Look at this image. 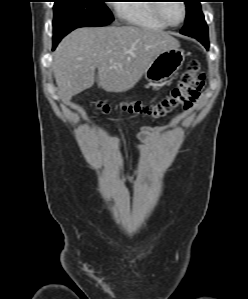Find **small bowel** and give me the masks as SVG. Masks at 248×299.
<instances>
[{
  "instance_id": "small-bowel-1",
  "label": "small bowel",
  "mask_w": 248,
  "mask_h": 299,
  "mask_svg": "<svg viewBox=\"0 0 248 299\" xmlns=\"http://www.w3.org/2000/svg\"><path fill=\"white\" fill-rule=\"evenodd\" d=\"M166 127H152V126H143L141 127L136 135L137 137L145 143L146 146L155 145L159 142L161 137L165 132ZM116 144H119L117 140H114Z\"/></svg>"
}]
</instances>
